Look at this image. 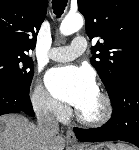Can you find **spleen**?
Segmentation results:
<instances>
[{"mask_svg":"<svg viewBox=\"0 0 139 150\" xmlns=\"http://www.w3.org/2000/svg\"><path fill=\"white\" fill-rule=\"evenodd\" d=\"M118 150H133L132 148L126 146V145H118L117 146Z\"/></svg>","mask_w":139,"mask_h":150,"instance_id":"3e777b00","label":"spleen"}]
</instances>
